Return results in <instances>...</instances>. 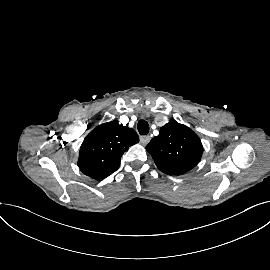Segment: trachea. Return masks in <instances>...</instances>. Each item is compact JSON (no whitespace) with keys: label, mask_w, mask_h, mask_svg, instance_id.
<instances>
[{"label":"trachea","mask_w":270,"mask_h":270,"mask_svg":"<svg viewBox=\"0 0 270 270\" xmlns=\"http://www.w3.org/2000/svg\"><path fill=\"white\" fill-rule=\"evenodd\" d=\"M137 129L140 135H147L149 132V124L145 120H140L137 124Z\"/></svg>","instance_id":"3493384b"}]
</instances>
